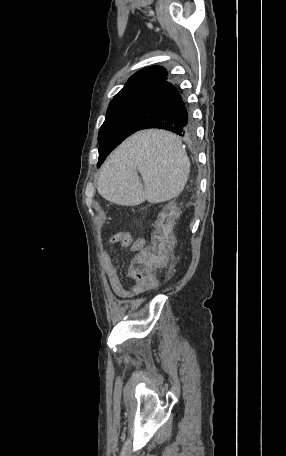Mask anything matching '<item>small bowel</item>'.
<instances>
[{"mask_svg": "<svg viewBox=\"0 0 286 456\" xmlns=\"http://www.w3.org/2000/svg\"><path fill=\"white\" fill-rule=\"evenodd\" d=\"M110 243L112 245L120 244L121 246L131 251H136L140 246H144L145 240L143 238L133 239L130 234L121 232L112 236ZM102 263L104 270L107 274L110 287L119 299L131 300L135 298L136 295L143 292L137 290L134 285L131 286L130 289H126L124 287L121 278L118 274L117 268L113 263L111 253L107 250H105L102 254Z\"/></svg>", "mask_w": 286, "mask_h": 456, "instance_id": "obj_1", "label": "small bowel"}]
</instances>
